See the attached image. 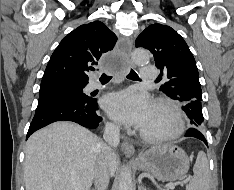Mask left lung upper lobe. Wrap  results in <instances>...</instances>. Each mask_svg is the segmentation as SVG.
<instances>
[{
	"mask_svg": "<svg viewBox=\"0 0 234 190\" xmlns=\"http://www.w3.org/2000/svg\"><path fill=\"white\" fill-rule=\"evenodd\" d=\"M136 47L148 49L161 70L160 87L167 96L182 105L192 127L203 129L202 90L195 59L184 39L171 27L152 24L136 39Z\"/></svg>",
	"mask_w": 234,
	"mask_h": 190,
	"instance_id": "5c2ea615",
	"label": "left lung upper lobe"
}]
</instances>
